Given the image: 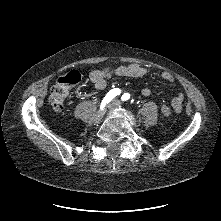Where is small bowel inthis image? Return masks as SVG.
Returning a JSON list of instances; mask_svg holds the SVG:
<instances>
[{"mask_svg":"<svg viewBox=\"0 0 221 221\" xmlns=\"http://www.w3.org/2000/svg\"><path fill=\"white\" fill-rule=\"evenodd\" d=\"M147 70L138 64L122 65L119 67H104L100 69L93 70L89 74L90 81L94 84L97 89H103L106 86L107 80L112 76L130 77V78H140L146 75ZM162 78L165 81L173 82V75L164 71L162 73ZM142 94L146 97L151 95V90L149 88H143ZM184 94L179 93L171 101V107L175 113H180L183 107Z\"/></svg>","mask_w":221,"mask_h":221,"instance_id":"small-bowel-1","label":"small bowel"}]
</instances>
